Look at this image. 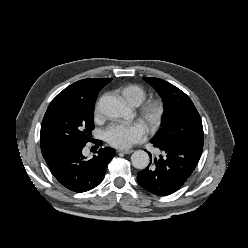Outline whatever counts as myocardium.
<instances>
[{
  "label": "myocardium",
  "mask_w": 248,
  "mask_h": 248,
  "mask_svg": "<svg viewBox=\"0 0 248 248\" xmlns=\"http://www.w3.org/2000/svg\"><path fill=\"white\" fill-rule=\"evenodd\" d=\"M165 105L159 99H150L145 101L140 109L139 115L146 122L150 129H157L163 119Z\"/></svg>",
  "instance_id": "myocardium-1"
}]
</instances>
